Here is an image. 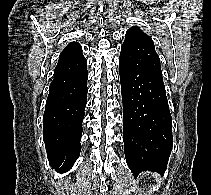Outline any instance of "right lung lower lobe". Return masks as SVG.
<instances>
[{
  "mask_svg": "<svg viewBox=\"0 0 211 195\" xmlns=\"http://www.w3.org/2000/svg\"><path fill=\"white\" fill-rule=\"evenodd\" d=\"M87 64L54 76L43 117V138L49 164L57 172L71 169L81 149L82 121L87 102Z\"/></svg>",
  "mask_w": 211,
  "mask_h": 195,
  "instance_id": "right-lung-lower-lobe-1",
  "label": "right lung lower lobe"
}]
</instances>
